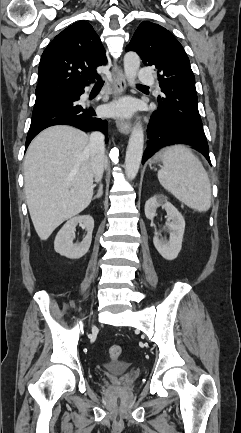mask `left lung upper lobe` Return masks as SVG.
<instances>
[{"instance_id":"obj_1","label":"left lung upper lobe","mask_w":241,"mask_h":433,"mask_svg":"<svg viewBox=\"0 0 241 433\" xmlns=\"http://www.w3.org/2000/svg\"><path fill=\"white\" fill-rule=\"evenodd\" d=\"M126 51H135L145 66L154 65L163 96L158 110L206 138L198 111L195 78L182 45L162 26L143 21Z\"/></svg>"}]
</instances>
